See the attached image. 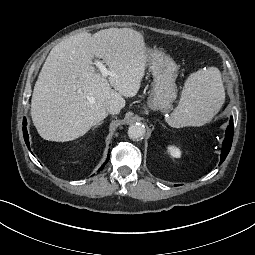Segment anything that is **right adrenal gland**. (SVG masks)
<instances>
[{
    "label": "right adrenal gland",
    "instance_id": "right-adrenal-gland-1",
    "mask_svg": "<svg viewBox=\"0 0 255 255\" xmlns=\"http://www.w3.org/2000/svg\"><path fill=\"white\" fill-rule=\"evenodd\" d=\"M103 122H104V121H101L100 123H98V124L93 128V130H94L95 128L99 127Z\"/></svg>",
    "mask_w": 255,
    "mask_h": 255
}]
</instances>
